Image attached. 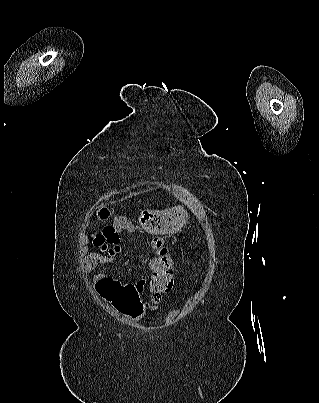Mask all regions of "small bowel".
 Listing matches in <instances>:
<instances>
[{
    "mask_svg": "<svg viewBox=\"0 0 319 403\" xmlns=\"http://www.w3.org/2000/svg\"><path fill=\"white\" fill-rule=\"evenodd\" d=\"M130 229L127 213H120L115 219V224H102L101 229H93L91 244L98 250L89 252L84 256L82 260L83 272L96 271L99 263L106 260L108 256L124 254L123 236ZM168 259L171 258L168 256ZM147 282L150 281L140 279L136 284H125V279H116L99 271L94 274L93 286L97 287L99 299L103 305H108V309H117L118 315H130L133 320L139 321L148 312L159 310L162 301L155 300L152 291H150L146 302L140 300L139 292L146 286ZM171 289L172 287L170 291Z\"/></svg>",
    "mask_w": 319,
    "mask_h": 403,
    "instance_id": "small-bowel-1",
    "label": "small bowel"
}]
</instances>
